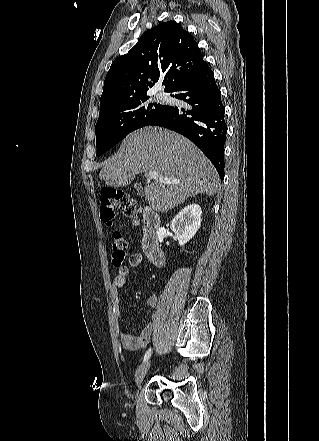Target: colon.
I'll return each instance as SVG.
<instances>
[{"label": "colon", "instance_id": "obj_1", "mask_svg": "<svg viewBox=\"0 0 319 441\" xmlns=\"http://www.w3.org/2000/svg\"><path fill=\"white\" fill-rule=\"evenodd\" d=\"M100 201V218L107 226L113 224L116 209L137 220L136 202L128 194L116 189H106L102 191ZM111 248L114 265H120L127 252V241L120 231H113Z\"/></svg>", "mask_w": 319, "mask_h": 441}]
</instances>
